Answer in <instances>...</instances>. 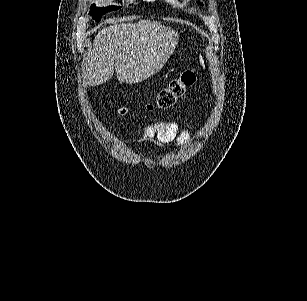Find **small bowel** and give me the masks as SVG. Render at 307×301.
I'll return each instance as SVG.
<instances>
[{
  "label": "small bowel",
  "mask_w": 307,
  "mask_h": 301,
  "mask_svg": "<svg viewBox=\"0 0 307 301\" xmlns=\"http://www.w3.org/2000/svg\"><path fill=\"white\" fill-rule=\"evenodd\" d=\"M134 138L138 142L146 139H157L163 144L176 141L178 145L185 146L191 138V132L187 127L181 129L176 121L160 120L145 125Z\"/></svg>",
  "instance_id": "obj_1"
}]
</instances>
